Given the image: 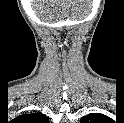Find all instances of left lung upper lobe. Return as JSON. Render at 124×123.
I'll list each match as a JSON object with an SVG mask.
<instances>
[{"label": "left lung upper lobe", "mask_w": 124, "mask_h": 123, "mask_svg": "<svg viewBox=\"0 0 124 123\" xmlns=\"http://www.w3.org/2000/svg\"><path fill=\"white\" fill-rule=\"evenodd\" d=\"M106 116L100 113H91L87 116H84L80 123H100Z\"/></svg>", "instance_id": "obj_1"}]
</instances>
